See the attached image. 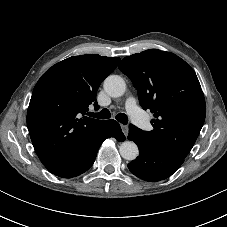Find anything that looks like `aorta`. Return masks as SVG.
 <instances>
[{
    "label": "aorta",
    "instance_id": "aorta-1",
    "mask_svg": "<svg viewBox=\"0 0 227 227\" xmlns=\"http://www.w3.org/2000/svg\"><path fill=\"white\" fill-rule=\"evenodd\" d=\"M104 89L112 97H120L125 93L126 83L118 75H110L104 81ZM122 158L132 161L137 158L139 150L137 145L132 141H124L119 147Z\"/></svg>",
    "mask_w": 227,
    "mask_h": 227
}]
</instances>
